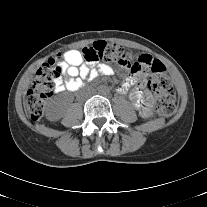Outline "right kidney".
<instances>
[{"instance_id": "obj_1", "label": "right kidney", "mask_w": 207, "mask_h": 207, "mask_svg": "<svg viewBox=\"0 0 207 207\" xmlns=\"http://www.w3.org/2000/svg\"><path fill=\"white\" fill-rule=\"evenodd\" d=\"M63 114L64 112L60 105L57 102L52 101L47 108L46 118L49 121H57L63 117Z\"/></svg>"}]
</instances>
